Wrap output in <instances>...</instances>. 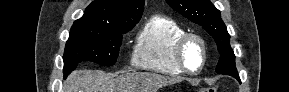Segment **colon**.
I'll list each match as a JSON object with an SVG mask.
<instances>
[{
	"label": "colon",
	"mask_w": 289,
	"mask_h": 92,
	"mask_svg": "<svg viewBox=\"0 0 289 92\" xmlns=\"http://www.w3.org/2000/svg\"><path fill=\"white\" fill-rule=\"evenodd\" d=\"M217 90L215 88H207L203 89L202 92H216Z\"/></svg>",
	"instance_id": "1"
}]
</instances>
